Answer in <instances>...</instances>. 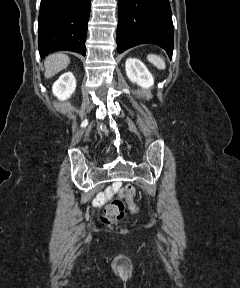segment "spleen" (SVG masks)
<instances>
[{"instance_id": "spleen-1", "label": "spleen", "mask_w": 240, "mask_h": 288, "mask_svg": "<svg viewBox=\"0 0 240 288\" xmlns=\"http://www.w3.org/2000/svg\"><path fill=\"white\" fill-rule=\"evenodd\" d=\"M148 60L154 65L156 66L158 69H165L166 68V64L164 62V60L155 54H149L147 56Z\"/></svg>"}]
</instances>
